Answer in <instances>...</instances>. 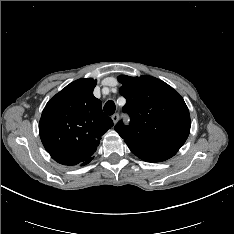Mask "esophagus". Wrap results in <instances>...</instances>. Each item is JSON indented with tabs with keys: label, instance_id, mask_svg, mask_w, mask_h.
I'll return each mask as SVG.
<instances>
[{
	"label": "esophagus",
	"instance_id": "esophagus-1",
	"mask_svg": "<svg viewBox=\"0 0 234 234\" xmlns=\"http://www.w3.org/2000/svg\"><path fill=\"white\" fill-rule=\"evenodd\" d=\"M111 118H112L113 123L116 124L119 120V114L115 113Z\"/></svg>",
	"mask_w": 234,
	"mask_h": 234
}]
</instances>
